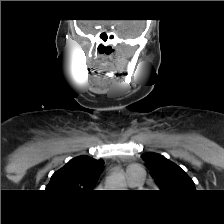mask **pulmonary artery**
<instances>
[{
    "label": "pulmonary artery",
    "mask_w": 224,
    "mask_h": 224,
    "mask_svg": "<svg viewBox=\"0 0 224 224\" xmlns=\"http://www.w3.org/2000/svg\"><path fill=\"white\" fill-rule=\"evenodd\" d=\"M127 181L132 186H140L143 182V172L137 167H129L127 169Z\"/></svg>",
    "instance_id": "1"
}]
</instances>
